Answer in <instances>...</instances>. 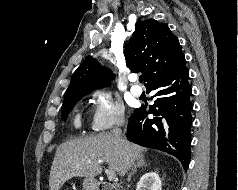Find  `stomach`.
Wrapping results in <instances>:
<instances>
[{"label": "stomach", "instance_id": "0dacf381", "mask_svg": "<svg viewBox=\"0 0 238 190\" xmlns=\"http://www.w3.org/2000/svg\"><path fill=\"white\" fill-rule=\"evenodd\" d=\"M97 181L94 178H85L83 180V188L84 190H96Z\"/></svg>", "mask_w": 238, "mask_h": 190}]
</instances>
